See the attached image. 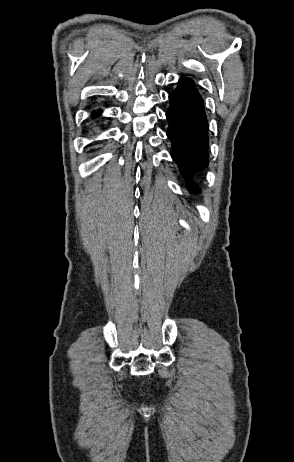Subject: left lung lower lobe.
<instances>
[{"mask_svg":"<svg viewBox=\"0 0 294 462\" xmlns=\"http://www.w3.org/2000/svg\"><path fill=\"white\" fill-rule=\"evenodd\" d=\"M167 136L172 142L171 155L189 177L208 165V123L202 98L188 78H181L170 96ZM189 189L200 190L190 183Z\"/></svg>","mask_w":294,"mask_h":462,"instance_id":"1","label":"left lung lower lobe"}]
</instances>
